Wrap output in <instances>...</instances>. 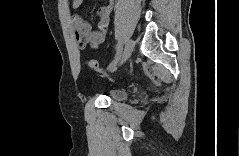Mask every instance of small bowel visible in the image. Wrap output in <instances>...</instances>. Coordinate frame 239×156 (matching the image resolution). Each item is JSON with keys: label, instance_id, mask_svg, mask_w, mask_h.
Segmentation results:
<instances>
[{"label": "small bowel", "instance_id": "obj_1", "mask_svg": "<svg viewBox=\"0 0 239 156\" xmlns=\"http://www.w3.org/2000/svg\"><path fill=\"white\" fill-rule=\"evenodd\" d=\"M112 7V1H106L100 6L98 9L99 22L97 29L93 30L90 23L81 16V11L84 9V1H72L74 14L71 17V24L76 43L81 48H85L88 45L98 47L106 40Z\"/></svg>", "mask_w": 239, "mask_h": 156}]
</instances>
